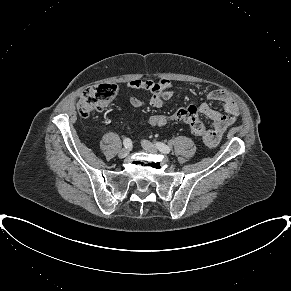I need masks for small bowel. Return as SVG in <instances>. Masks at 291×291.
<instances>
[{"label": "small bowel", "mask_w": 291, "mask_h": 291, "mask_svg": "<svg viewBox=\"0 0 291 291\" xmlns=\"http://www.w3.org/2000/svg\"><path fill=\"white\" fill-rule=\"evenodd\" d=\"M131 90L143 89L151 93L148 104L154 108L163 107L164 103L173 96L172 82L169 79L153 80H133L128 84ZM207 98L220 102L223 105L224 113L214 110L207 103L195 106L198 114L206 116L212 121V129L209 131L210 138H203V141L213 146L217 143L223 133L236 121L239 109L233 99L222 90H212L207 93ZM130 104L135 108L146 106L147 102L141 100L134 94H130Z\"/></svg>", "instance_id": "obj_1"}]
</instances>
